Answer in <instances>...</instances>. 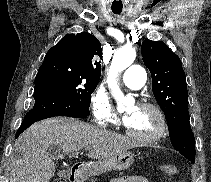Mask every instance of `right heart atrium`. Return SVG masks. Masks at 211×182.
<instances>
[{"instance_id": "obj_1", "label": "right heart atrium", "mask_w": 211, "mask_h": 182, "mask_svg": "<svg viewBox=\"0 0 211 182\" xmlns=\"http://www.w3.org/2000/svg\"><path fill=\"white\" fill-rule=\"evenodd\" d=\"M90 110L94 120L100 125L116 124L118 121L108 96L101 90L92 94Z\"/></svg>"}]
</instances>
